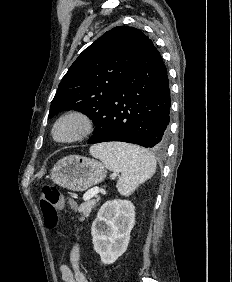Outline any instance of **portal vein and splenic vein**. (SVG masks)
Returning a JSON list of instances; mask_svg holds the SVG:
<instances>
[{"mask_svg": "<svg viewBox=\"0 0 232 282\" xmlns=\"http://www.w3.org/2000/svg\"><path fill=\"white\" fill-rule=\"evenodd\" d=\"M101 189L99 187H95L93 189H90L89 191H87L84 196L83 199L84 201H87L89 199H91L92 197L96 196L98 193H100Z\"/></svg>", "mask_w": 232, "mask_h": 282, "instance_id": "1", "label": "portal vein and splenic vein"}]
</instances>
